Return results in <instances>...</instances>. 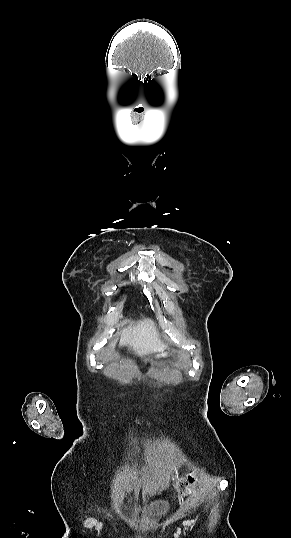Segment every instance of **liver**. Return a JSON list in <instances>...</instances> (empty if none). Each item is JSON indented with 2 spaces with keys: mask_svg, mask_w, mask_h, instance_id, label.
<instances>
[{
  "mask_svg": "<svg viewBox=\"0 0 291 538\" xmlns=\"http://www.w3.org/2000/svg\"><path fill=\"white\" fill-rule=\"evenodd\" d=\"M120 334V346L131 347L138 355H147L166 347L159 339L154 322L149 318L136 324L129 322V325L124 327ZM114 344L115 341L110 344L109 349L114 347Z\"/></svg>",
  "mask_w": 291,
  "mask_h": 538,
  "instance_id": "1",
  "label": "liver"
}]
</instances>
